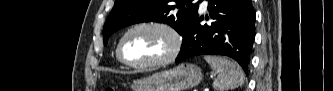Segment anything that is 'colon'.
Returning <instances> with one entry per match:
<instances>
[{
    "instance_id": "5ec220e1",
    "label": "colon",
    "mask_w": 333,
    "mask_h": 91,
    "mask_svg": "<svg viewBox=\"0 0 333 91\" xmlns=\"http://www.w3.org/2000/svg\"><path fill=\"white\" fill-rule=\"evenodd\" d=\"M116 89L112 86H109L106 88V91H115Z\"/></svg>"
}]
</instances>
